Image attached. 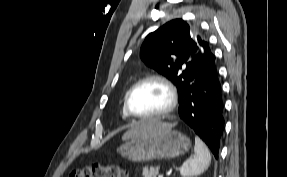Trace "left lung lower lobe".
<instances>
[{"instance_id": "0a47b994", "label": "left lung lower lobe", "mask_w": 287, "mask_h": 177, "mask_svg": "<svg viewBox=\"0 0 287 177\" xmlns=\"http://www.w3.org/2000/svg\"><path fill=\"white\" fill-rule=\"evenodd\" d=\"M179 115L208 145L217 159L224 118L221 85L213 54L183 88L179 99Z\"/></svg>"}]
</instances>
